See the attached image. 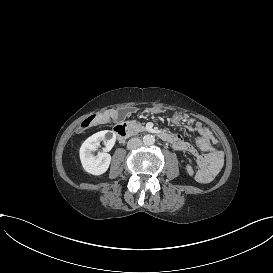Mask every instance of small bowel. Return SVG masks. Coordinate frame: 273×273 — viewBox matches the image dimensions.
Here are the masks:
<instances>
[{
	"label": "small bowel",
	"mask_w": 273,
	"mask_h": 273,
	"mask_svg": "<svg viewBox=\"0 0 273 273\" xmlns=\"http://www.w3.org/2000/svg\"><path fill=\"white\" fill-rule=\"evenodd\" d=\"M192 129L198 133V138L196 140L197 148H195L193 145H191L188 142L181 141L179 142L178 148L190 155H193L197 158V163L199 165V170L201 169V161L209 153H218L221 156H223L222 151L219 149H216L213 145L217 142L216 138L214 137L213 133L209 128L206 126L196 123ZM201 151L202 153H200ZM198 170V172H199ZM186 171L189 175H192L194 173V168L192 165H188L186 167ZM197 179H198V173H197Z\"/></svg>",
	"instance_id": "small-bowel-1"
}]
</instances>
